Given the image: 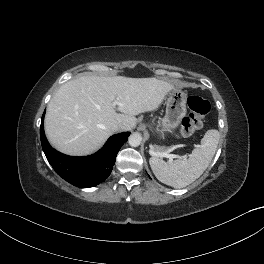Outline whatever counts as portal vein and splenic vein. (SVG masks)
<instances>
[{
  "instance_id": "portal-vein-and-splenic-vein-1",
  "label": "portal vein and splenic vein",
  "mask_w": 264,
  "mask_h": 264,
  "mask_svg": "<svg viewBox=\"0 0 264 264\" xmlns=\"http://www.w3.org/2000/svg\"><path fill=\"white\" fill-rule=\"evenodd\" d=\"M115 104H118L117 102H115ZM184 145H180L179 147H183ZM195 147H198L197 145H195ZM156 156L159 157H165L168 158L169 161L171 162L173 160V158H179L180 156L178 155H174V154H169V152H157L155 153Z\"/></svg>"
}]
</instances>
